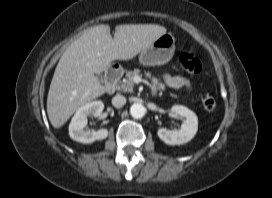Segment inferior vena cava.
Returning a JSON list of instances; mask_svg holds the SVG:
<instances>
[{"mask_svg":"<svg viewBox=\"0 0 272 198\" xmlns=\"http://www.w3.org/2000/svg\"><path fill=\"white\" fill-rule=\"evenodd\" d=\"M125 103H126V98L120 94H118L112 98V105L116 108H120V107L124 106Z\"/></svg>","mask_w":272,"mask_h":198,"instance_id":"inferior-vena-cava-1","label":"inferior vena cava"}]
</instances>
